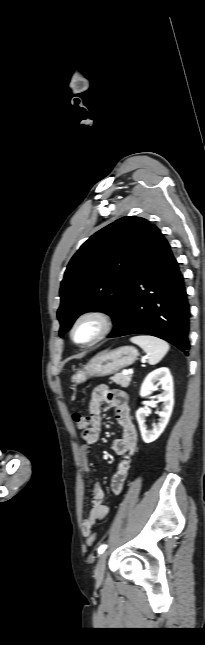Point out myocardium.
Here are the masks:
<instances>
[{
  "instance_id": "myocardium-1",
  "label": "myocardium",
  "mask_w": 205,
  "mask_h": 645,
  "mask_svg": "<svg viewBox=\"0 0 205 645\" xmlns=\"http://www.w3.org/2000/svg\"><path fill=\"white\" fill-rule=\"evenodd\" d=\"M86 320L95 321L99 326V330L92 339L85 342H81L76 339L75 332L77 327L83 321H86ZM112 327H113V320L107 312L102 310H97V309L87 310L82 312L80 315H78L77 318L72 323L70 328V338L77 345L85 346V347L92 346L98 343L99 341H101L102 339H104L111 332Z\"/></svg>"
}]
</instances>
